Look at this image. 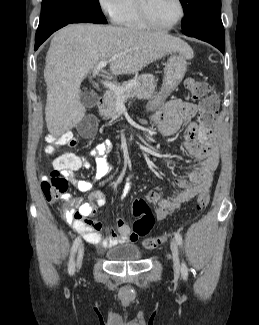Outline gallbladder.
<instances>
[{
    "label": "gallbladder",
    "instance_id": "obj_1",
    "mask_svg": "<svg viewBox=\"0 0 259 325\" xmlns=\"http://www.w3.org/2000/svg\"><path fill=\"white\" fill-rule=\"evenodd\" d=\"M98 96L95 92L84 91L80 93V102L85 108L96 106ZM97 127V118L94 115H85L83 121L78 125L79 135L83 139H94Z\"/></svg>",
    "mask_w": 259,
    "mask_h": 325
}]
</instances>
